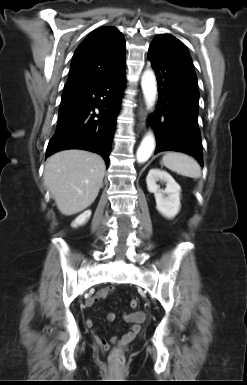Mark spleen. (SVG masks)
I'll return each instance as SVG.
<instances>
[{"mask_svg":"<svg viewBox=\"0 0 247 385\" xmlns=\"http://www.w3.org/2000/svg\"><path fill=\"white\" fill-rule=\"evenodd\" d=\"M161 163L168 169L190 178H199L201 168L198 162L183 153L168 152L162 157Z\"/></svg>","mask_w":247,"mask_h":385,"instance_id":"3e777b00","label":"spleen"}]
</instances>
